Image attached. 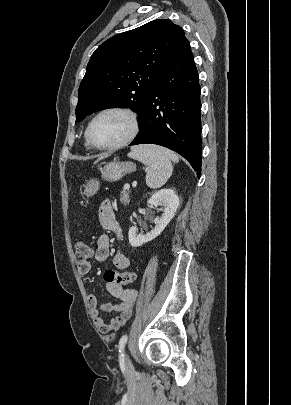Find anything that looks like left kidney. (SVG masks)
I'll return each mask as SVG.
<instances>
[{
    "label": "left kidney",
    "mask_w": 291,
    "mask_h": 405,
    "mask_svg": "<svg viewBox=\"0 0 291 405\" xmlns=\"http://www.w3.org/2000/svg\"><path fill=\"white\" fill-rule=\"evenodd\" d=\"M147 202L157 210L158 206H161L163 214L160 218L154 220L155 227L146 234H138L137 228L134 226L129 229L128 239L132 247H139L160 235L175 216L179 207V197L172 189L164 188L155 192Z\"/></svg>",
    "instance_id": "obj_1"
}]
</instances>
